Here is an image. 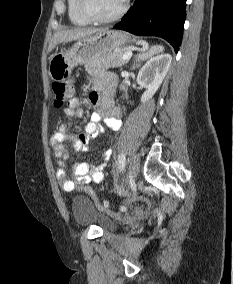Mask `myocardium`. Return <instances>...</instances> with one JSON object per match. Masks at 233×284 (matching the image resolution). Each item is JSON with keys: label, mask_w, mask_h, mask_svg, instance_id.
<instances>
[{"label": "myocardium", "mask_w": 233, "mask_h": 284, "mask_svg": "<svg viewBox=\"0 0 233 284\" xmlns=\"http://www.w3.org/2000/svg\"><path fill=\"white\" fill-rule=\"evenodd\" d=\"M128 8V0H124L121 8L112 16L109 17H99L95 15L90 7L89 0H79V10L81 14L90 22L97 24L111 23L120 19Z\"/></svg>", "instance_id": "1"}]
</instances>
